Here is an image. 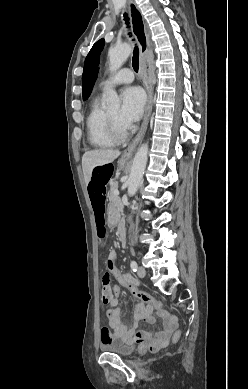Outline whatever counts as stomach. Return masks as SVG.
Returning a JSON list of instances; mask_svg holds the SVG:
<instances>
[{
	"label": "stomach",
	"mask_w": 248,
	"mask_h": 389,
	"mask_svg": "<svg viewBox=\"0 0 248 389\" xmlns=\"http://www.w3.org/2000/svg\"><path fill=\"white\" fill-rule=\"evenodd\" d=\"M125 164H126L125 161L119 162L120 167H124ZM108 212H109L107 214V219L109 220L108 224L110 226H119L120 225L119 219L121 218V215L118 213V205L117 204H110Z\"/></svg>",
	"instance_id": "stomach-1"
}]
</instances>
